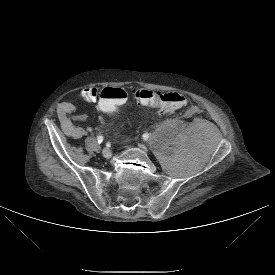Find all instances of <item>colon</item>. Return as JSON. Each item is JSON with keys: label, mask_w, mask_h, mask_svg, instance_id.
I'll return each mask as SVG.
<instances>
[{"label": "colon", "mask_w": 275, "mask_h": 275, "mask_svg": "<svg viewBox=\"0 0 275 275\" xmlns=\"http://www.w3.org/2000/svg\"><path fill=\"white\" fill-rule=\"evenodd\" d=\"M137 103L156 106L162 112L168 113L183 107L187 99L177 92H156L148 89H136L132 92ZM128 98L126 90L121 88H105L96 102L98 112L103 116H113L117 112V105L125 103Z\"/></svg>", "instance_id": "obj_1"}]
</instances>
